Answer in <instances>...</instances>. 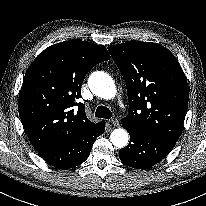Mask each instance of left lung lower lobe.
<instances>
[{"label":"left lung lower lobe","instance_id":"obj_1","mask_svg":"<svg viewBox=\"0 0 206 206\" xmlns=\"http://www.w3.org/2000/svg\"><path fill=\"white\" fill-rule=\"evenodd\" d=\"M129 144L119 151L120 160L127 166L146 169L161 161L171 151L176 141L131 130Z\"/></svg>","mask_w":206,"mask_h":206}]
</instances>
